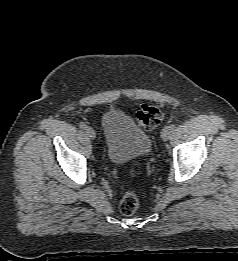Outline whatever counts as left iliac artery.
Segmentation results:
<instances>
[{
  "label": "left iliac artery",
  "instance_id": "44dca946",
  "mask_svg": "<svg viewBox=\"0 0 238 261\" xmlns=\"http://www.w3.org/2000/svg\"><path fill=\"white\" fill-rule=\"evenodd\" d=\"M170 128H171V130L173 131V130L176 128V124H171V125H170Z\"/></svg>",
  "mask_w": 238,
  "mask_h": 261
}]
</instances>
